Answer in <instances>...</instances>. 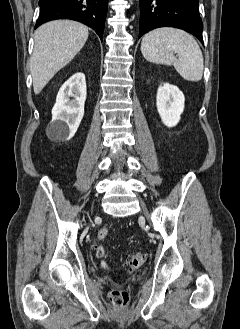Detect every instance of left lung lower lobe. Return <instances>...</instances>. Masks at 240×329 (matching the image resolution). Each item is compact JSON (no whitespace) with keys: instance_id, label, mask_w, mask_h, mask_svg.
<instances>
[{"instance_id":"obj_1","label":"left lung lower lobe","mask_w":240,"mask_h":329,"mask_svg":"<svg viewBox=\"0 0 240 329\" xmlns=\"http://www.w3.org/2000/svg\"><path fill=\"white\" fill-rule=\"evenodd\" d=\"M139 37L159 27L183 29L202 43L199 0H140Z\"/></svg>"}]
</instances>
